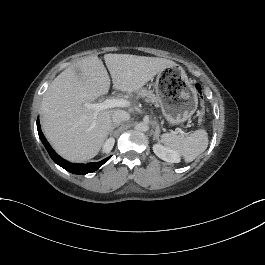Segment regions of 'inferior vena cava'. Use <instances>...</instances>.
Instances as JSON below:
<instances>
[{
	"label": "inferior vena cava",
	"mask_w": 265,
	"mask_h": 265,
	"mask_svg": "<svg viewBox=\"0 0 265 265\" xmlns=\"http://www.w3.org/2000/svg\"><path fill=\"white\" fill-rule=\"evenodd\" d=\"M129 119H130V114L124 110H116L112 114V121L116 125L124 121H128Z\"/></svg>",
	"instance_id": "1"
}]
</instances>
